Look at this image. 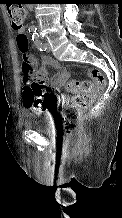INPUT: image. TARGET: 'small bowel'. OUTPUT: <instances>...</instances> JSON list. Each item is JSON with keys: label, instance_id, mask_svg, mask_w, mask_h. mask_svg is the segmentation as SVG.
I'll list each match as a JSON object with an SVG mask.
<instances>
[{"label": "small bowel", "instance_id": "obj_1", "mask_svg": "<svg viewBox=\"0 0 122 218\" xmlns=\"http://www.w3.org/2000/svg\"><path fill=\"white\" fill-rule=\"evenodd\" d=\"M22 33H25V27H22V29L19 31ZM28 61L31 65L32 73L36 76L37 81L36 83L38 85L44 86L46 88V85L50 86L54 91H60L65 84V82L70 78L71 73L68 69L62 68L58 62H56L54 59H52L49 56H43V64L44 67L37 68V61L35 58L29 56ZM52 67L58 71L56 75L51 77L50 79H47L46 77V68ZM45 92H39L36 96V101L40 104L41 109L43 108V105H45ZM63 100H67L65 96H62ZM24 105V104H23ZM25 107V106H24ZM26 108V107H25Z\"/></svg>", "mask_w": 122, "mask_h": 218}]
</instances>
